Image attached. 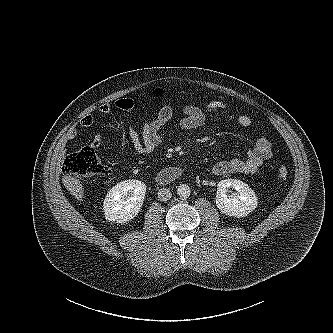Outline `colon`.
Here are the masks:
<instances>
[{
    "label": "colon",
    "mask_w": 333,
    "mask_h": 333,
    "mask_svg": "<svg viewBox=\"0 0 333 333\" xmlns=\"http://www.w3.org/2000/svg\"><path fill=\"white\" fill-rule=\"evenodd\" d=\"M157 96H162L163 92L156 91ZM63 171L66 174L74 175L80 178H89L99 175L106 171L100 158L93 147H84L75 153L69 154L63 162ZM289 172L286 167L281 166L278 169V176L285 181Z\"/></svg>",
    "instance_id": "colon-1"
}]
</instances>
